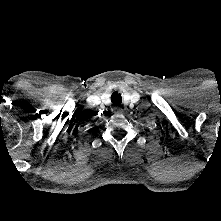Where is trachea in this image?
I'll list each match as a JSON object with an SVG mask.
<instances>
[{
	"label": "trachea",
	"instance_id": "trachea-1",
	"mask_svg": "<svg viewBox=\"0 0 221 221\" xmlns=\"http://www.w3.org/2000/svg\"><path fill=\"white\" fill-rule=\"evenodd\" d=\"M111 102L113 105L119 106L122 103V96L117 91L113 92L111 95Z\"/></svg>",
	"mask_w": 221,
	"mask_h": 221
}]
</instances>
